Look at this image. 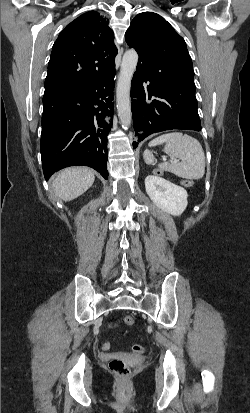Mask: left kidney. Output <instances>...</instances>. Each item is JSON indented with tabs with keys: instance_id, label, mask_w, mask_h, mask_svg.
<instances>
[{
	"instance_id": "5707ae66",
	"label": "left kidney",
	"mask_w": 250,
	"mask_h": 413,
	"mask_svg": "<svg viewBox=\"0 0 250 413\" xmlns=\"http://www.w3.org/2000/svg\"><path fill=\"white\" fill-rule=\"evenodd\" d=\"M145 188L153 203L166 213L179 216L187 207L186 190L164 178L155 174L148 175L145 178Z\"/></svg>"
}]
</instances>
